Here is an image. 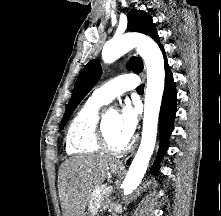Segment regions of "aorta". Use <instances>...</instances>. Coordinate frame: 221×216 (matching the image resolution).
Returning <instances> with one entry per match:
<instances>
[{"instance_id": "aorta-1", "label": "aorta", "mask_w": 221, "mask_h": 216, "mask_svg": "<svg viewBox=\"0 0 221 216\" xmlns=\"http://www.w3.org/2000/svg\"><path fill=\"white\" fill-rule=\"evenodd\" d=\"M133 48H136L145 62L147 87L141 144L123 182L124 195L131 194L138 187L147 170L155 147L158 117L165 84L162 52L158 45L145 35L124 34L112 38L103 47V61L112 63Z\"/></svg>"}]
</instances>
